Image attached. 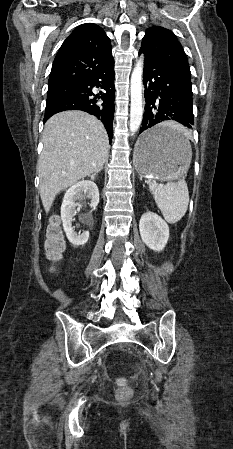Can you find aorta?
Masks as SVG:
<instances>
[{
  "label": "aorta",
  "instance_id": "aorta-1",
  "mask_svg": "<svg viewBox=\"0 0 233 449\" xmlns=\"http://www.w3.org/2000/svg\"><path fill=\"white\" fill-rule=\"evenodd\" d=\"M143 62L144 59L141 57L137 61L131 75V87H130L131 108H130L129 129L132 135L139 129L143 117V107H142Z\"/></svg>",
  "mask_w": 233,
  "mask_h": 449
}]
</instances>
